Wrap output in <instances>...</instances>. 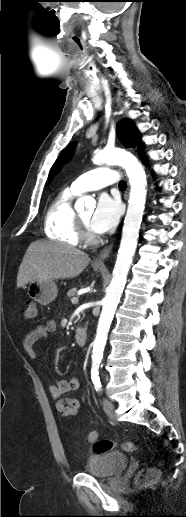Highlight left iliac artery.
<instances>
[{
	"label": "left iliac artery",
	"mask_w": 186,
	"mask_h": 517,
	"mask_svg": "<svg viewBox=\"0 0 186 517\" xmlns=\"http://www.w3.org/2000/svg\"><path fill=\"white\" fill-rule=\"evenodd\" d=\"M91 379L95 386V389L100 392L102 390V385L99 378V372L97 370H91Z\"/></svg>",
	"instance_id": "obj_1"
}]
</instances>
